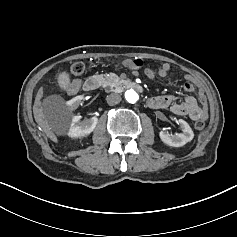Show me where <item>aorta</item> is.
<instances>
[{"label":"aorta","instance_id":"762f6f07","mask_svg":"<svg viewBox=\"0 0 237 237\" xmlns=\"http://www.w3.org/2000/svg\"><path fill=\"white\" fill-rule=\"evenodd\" d=\"M125 99L128 103L134 104L138 101V94L134 90H127L125 92Z\"/></svg>","mask_w":237,"mask_h":237}]
</instances>
